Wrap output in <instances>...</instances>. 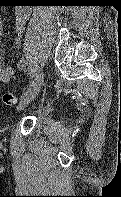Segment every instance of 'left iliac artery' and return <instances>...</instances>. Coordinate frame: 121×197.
<instances>
[{"mask_svg": "<svg viewBox=\"0 0 121 197\" xmlns=\"http://www.w3.org/2000/svg\"><path fill=\"white\" fill-rule=\"evenodd\" d=\"M29 61H30L29 55L22 57L21 60L18 62V68L22 69V68L26 67V65L29 63Z\"/></svg>", "mask_w": 121, "mask_h": 197, "instance_id": "obj_1", "label": "left iliac artery"}]
</instances>
